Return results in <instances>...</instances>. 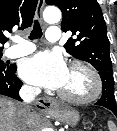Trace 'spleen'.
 I'll use <instances>...</instances> for the list:
<instances>
[{"label":"spleen","mask_w":117,"mask_h":131,"mask_svg":"<svg viewBox=\"0 0 117 131\" xmlns=\"http://www.w3.org/2000/svg\"><path fill=\"white\" fill-rule=\"evenodd\" d=\"M108 128L109 131H117V127L115 126L114 122H112L111 120L108 121Z\"/></svg>","instance_id":"3e777b00"}]
</instances>
